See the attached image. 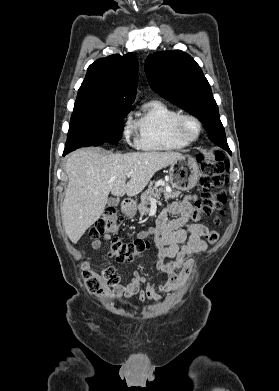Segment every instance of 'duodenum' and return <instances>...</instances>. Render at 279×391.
Here are the masks:
<instances>
[{
  "label": "duodenum",
  "instance_id": "obj_1",
  "mask_svg": "<svg viewBox=\"0 0 279 391\" xmlns=\"http://www.w3.org/2000/svg\"><path fill=\"white\" fill-rule=\"evenodd\" d=\"M123 206H124L125 213H129L133 208V202L129 199H126L123 203Z\"/></svg>",
  "mask_w": 279,
  "mask_h": 391
}]
</instances>
